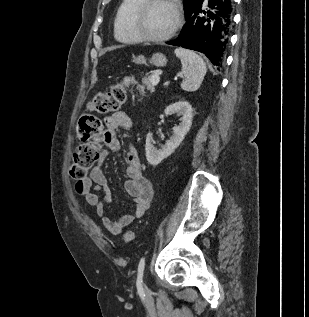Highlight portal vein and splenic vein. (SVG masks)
I'll use <instances>...</instances> for the list:
<instances>
[{
  "mask_svg": "<svg viewBox=\"0 0 309 317\" xmlns=\"http://www.w3.org/2000/svg\"><path fill=\"white\" fill-rule=\"evenodd\" d=\"M159 74H160V71L157 70L155 71V74L151 76V82L154 84V85H157L160 81V77H159Z\"/></svg>",
  "mask_w": 309,
  "mask_h": 317,
  "instance_id": "obj_1",
  "label": "portal vein and splenic vein"
}]
</instances>
